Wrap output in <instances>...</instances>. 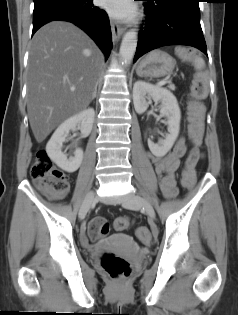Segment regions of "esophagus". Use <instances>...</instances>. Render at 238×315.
Segmentation results:
<instances>
[{
	"label": "esophagus",
	"mask_w": 238,
	"mask_h": 315,
	"mask_svg": "<svg viewBox=\"0 0 238 315\" xmlns=\"http://www.w3.org/2000/svg\"><path fill=\"white\" fill-rule=\"evenodd\" d=\"M111 30H112L113 40L116 42L124 33L125 28L123 26L119 25L117 22L112 21L111 22Z\"/></svg>",
	"instance_id": "esophagus-1"
}]
</instances>
